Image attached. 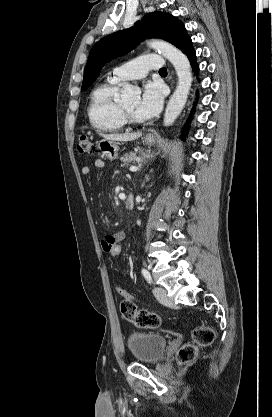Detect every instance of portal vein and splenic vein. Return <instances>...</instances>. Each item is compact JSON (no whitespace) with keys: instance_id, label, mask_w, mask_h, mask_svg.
Here are the masks:
<instances>
[{"instance_id":"portal-vein-and-splenic-vein-1","label":"portal vein and splenic vein","mask_w":272,"mask_h":417,"mask_svg":"<svg viewBox=\"0 0 272 417\" xmlns=\"http://www.w3.org/2000/svg\"><path fill=\"white\" fill-rule=\"evenodd\" d=\"M137 170H138V167H135V166L130 167V171L132 172H136Z\"/></svg>"}]
</instances>
